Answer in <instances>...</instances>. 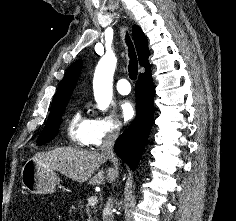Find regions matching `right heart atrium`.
Listing matches in <instances>:
<instances>
[{
  "label": "right heart atrium",
  "mask_w": 236,
  "mask_h": 221,
  "mask_svg": "<svg viewBox=\"0 0 236 221\" xmlns=\"http://www.w3.org/2000/svg\"><path fill=\"white\" fill-rule=\"evenodd\" d=\"M121 129V123L114 116L95 114L89 120L87 145L98 148L103 143L116 139Z\"/></svg>",
  "instance_id": "d8ad5b80"
}]
</instances>
